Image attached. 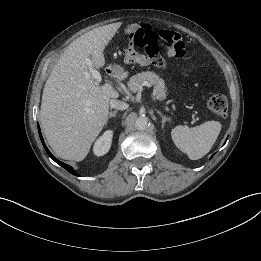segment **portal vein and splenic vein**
<instances>
[{
	"instance_id": "1",
	"label": "portal vein and splenic vein",
	"mask_w": 261,
	"mask_h": 261,
	"mask_svg": "<svg viewBox=\"0 0 261 261\" xmlns=\"http://www.w3.org/2000/svg\"><path fill=\"white\" fill-rule=\"evenodd\" d=\"M85 62L88 66L90 74L96 80V82L99 83L102 80V77L100 72L94 68L92 60L90 58H86ZM143 85H148V83L144 82Z\"/></svg>"
}]
</instances>
